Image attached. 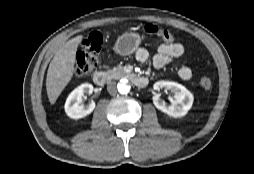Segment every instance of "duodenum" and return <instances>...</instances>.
I'll return each mask as SVG.
<instances>
[{
    "mask_svg": "<svg viewBox=\"0 0 254 174\" xmlns=\"http://www.w3.org/2000/svg\"><path fill=\"white\" fill-rule=\"evenodd\" d=\"M130 79L139 88H144L148 84V80L145 77L131 75ZM93 80L98 86H104L108 82L109 76L103 71H96L93 74Z\"/></svg>",
    "mask_w": 254,
    "mask_h": 174,
    "instance_id": "obj_1",
    "label": "duodenum"
}]
</instances>
